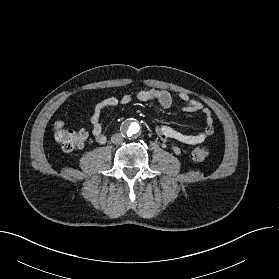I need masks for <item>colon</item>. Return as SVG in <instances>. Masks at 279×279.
<instances>
[{"mask_svg":"<svg viewBox=\"0 0 279 279\" xmlns=\"http://www.w3.org/2000/svg\"><path fill=\"white\" fill-rule=\"evenodd\" d=\"M54 138L65 151H73L83 148L88 138L86 130L68 129L63 122H57L54 128ZM209 153L206 145L196 147L191 157L195 161H203Z\"/></svg>","mask_w":279,"mask_h":279,"instance_id":"5ec220e1","label":"colon"}]
</instances>
